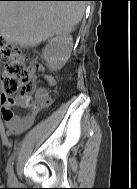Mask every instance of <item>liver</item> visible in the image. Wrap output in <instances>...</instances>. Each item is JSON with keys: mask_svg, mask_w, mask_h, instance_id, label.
<instances>
[{"mask_svg": "<svg viewBox=\"0 0 137 189\" xmlns=\"http://www.w3.org/2000/svg\"><path fill=\"white\" fill-rule=\"evenodd\" d=\"M83 1H0V31L10 43L35 46L54 34L69 33L84 14Z\"/></svg>", "mask_w": 137, "mask_h": 189, "instance_id": "1", "label": "liver"}]
</instances>
